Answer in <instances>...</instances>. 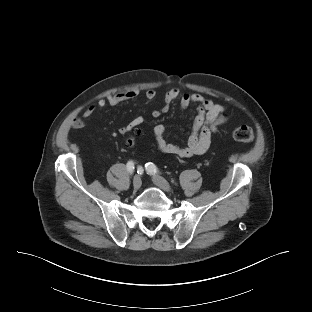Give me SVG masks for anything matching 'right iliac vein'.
<instances>
[{
    "label": "right iliac vein",
    "instance_id": "1",
    "mask_svg": "<svg viewBox=\"0 0 312 312\" xmlns=\"http://www.w3.org/2000/svg\"><path fill=\"white\" fill-rule=\"evenodd\" d=\"M142 184V180L140 178V176H135L133 179V187L135 190H138L141 187Z\"/></svg>",
    "mask_w": 312,
    "mask_h": 312
}]
</instances>
